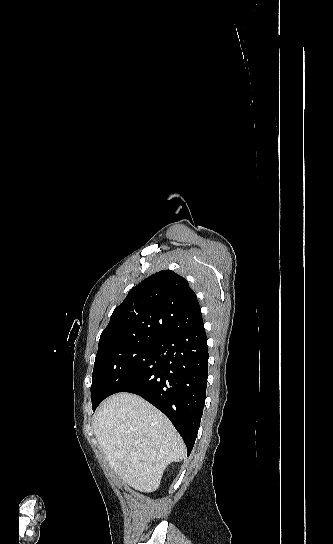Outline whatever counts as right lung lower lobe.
<instances>
[{
  "mask_svg": "<svg viewBox=\"0 0 333 544\" xmlns=\"http://www.w3.org/2000/svg\"><path fill=\"white\" fill-rule=\"evenodd\" d=\"M207 336L203 319L156 341L149 361L119 392L137 394L161 410L187 446H194L206 397Z\"/></svg>",
  "mask_w": 333,
  "mask_h": 544,
  "instance_id": "1",
  "label": "right lung lower lobe"
}]
</instances>
